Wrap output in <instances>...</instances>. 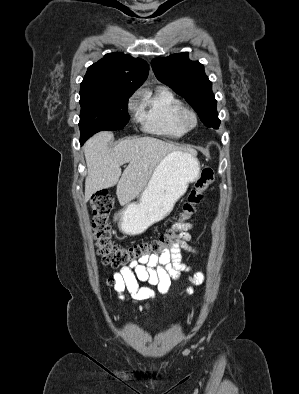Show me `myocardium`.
Returning <instances> with one entry per match:
<instances>
[{"mask_svg": "<svg viewBox=\"0 0 299 394\" xmlns=\"http://www.w3.org/2000/svg\"><path fill=\"white\" fill-rule=\"evenodd\" d=\"M178 120L185 131L195 129L199 122L196 111L189 107H182L179 112Z\"/></svg>", "mask_w": 299, "mask_h": 394, "instance_id": "myocardium-1", "label": "myocardium"}]
</instances>
